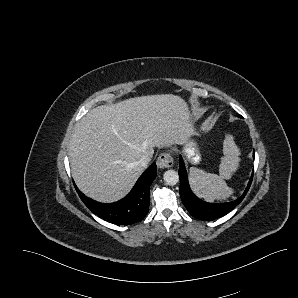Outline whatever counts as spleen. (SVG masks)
<instances>
[{
  "label": "spleen",
  "mask_w": 298,
  "mask_h": 298,
  "mask_svg": "<svg viewBox=\"0 0 298 298\" xmlns=\"http://www.w3.org/2000/svg\"><path fill=\"white\" fill-rule=\"evenodd\" d=\"M222 153L219 163V175L209 174L196 167L188 170L189 187L198 198L207 203L226 201L235 192L225 180H232L243 161L242 151L235 141V135L229 131L224 133Z\"/></svg>",
  "instance_id": "obj_1"
}]
</instances>
